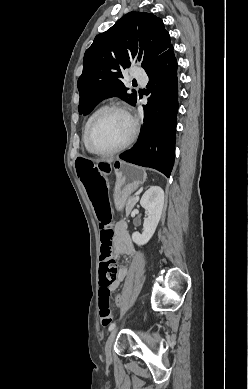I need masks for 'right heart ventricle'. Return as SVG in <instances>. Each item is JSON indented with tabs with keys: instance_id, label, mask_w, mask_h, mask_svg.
Masks as SVG:
<instances>
[{
	"instance_id": "1",
	"label": "right heart ventricle",
	"mask_w": 248,
	"mask_h": 389,
	"mask_svg": "<svg viewBox=\"0 0 248 389\" xmlns=\"http://www.w3.org/2000/svg\"><path fill=\"white\" fill-rule=\"evenodd\" d=\"M101 108H97L95 109L91 114L90 116L88 117L85 125H84V130H83V142L85 144V147H86V143H85V137H86V131H87V128H88V125L90 123V121L92 120V118L95 116V114L100 110ZM87 148V147H86Z\"/></svg>"
}]
</instances>
